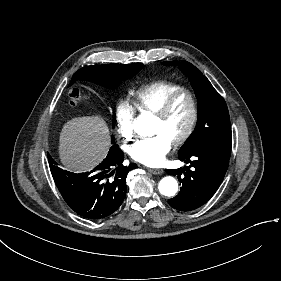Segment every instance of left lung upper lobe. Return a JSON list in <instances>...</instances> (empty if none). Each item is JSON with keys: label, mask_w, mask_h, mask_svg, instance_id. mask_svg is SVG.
Returning <instances> with one entry per match:
<instances>
[{"label": "left lung upper lobe", "mask_w": 281, "mask_h": 281, "mask_svg": "<svg viewBox=\"0 0 281 281\" xmlns=\"http://www.w3.org/2000/svg\"><path fill=\"white\" fill-rule=\"evenodd\" d=\"M177 65L186 74L195 91L198 102L196 127L178 154L199 149L209 150L225 158L231 154V125L227 105L209 80L191 63L182 61L163 62Z\"/></svg>", "instance_id": "5c2ea615"}]
</instances>
